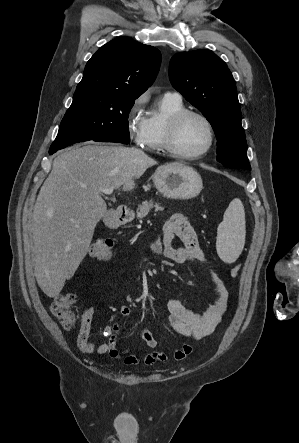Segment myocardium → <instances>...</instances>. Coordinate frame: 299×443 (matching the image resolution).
Listing matches in <instances>:
<instances>
[{
  "mask_svg": "<svg viewBox=\"0 0 299 443\" xmlns=\"http://www.w3.org/2000/svg\"><path fill=\"white\" fill-rule=\"evenodd\" d=\"M190 116L197 117L201 119L205 125L207 126L208 133H209V139L206 147L199 153L196 154H186L181 152L177 146H176V138L177 134L180 128V125L182 122ZM215 142V130L211 123V121L208 119L207 116H205L203 113L195 111V110H189V109H183L179 112L174 113L170 116V118L167 121L166 125V131H165V137H164V148L165 150L173 155L174 157H177L179 159L184 160H197L204 156H206L210 150L212 149Z\"/></svg>",
  "mask_w": 299,
  "mask_h": 443,
  "instance_id": "obj_1",
  "label": "myocardium"
}]
</instances>
